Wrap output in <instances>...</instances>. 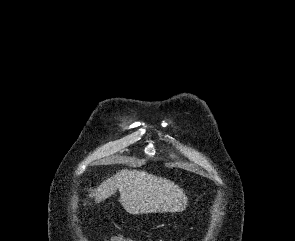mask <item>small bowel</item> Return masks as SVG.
<instances>
[{
  "mask_svg": "<svg viewBox=\"0 0 295 241\" xmlns=\"http://www.w3.org/2000/svg\"><path fill=\"white\" fill-rule=\"evenodd\" d=\"M119 241H134V240L121 238V240Z\"/></svg>",
  "mask_w": 295,
  "mask_h": 241,
  "instance_id": "1",
  "label": "small bowel"
}]
</instances>
